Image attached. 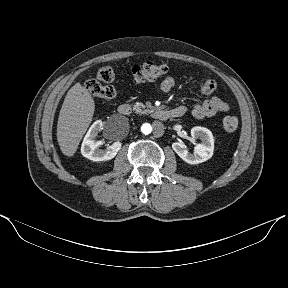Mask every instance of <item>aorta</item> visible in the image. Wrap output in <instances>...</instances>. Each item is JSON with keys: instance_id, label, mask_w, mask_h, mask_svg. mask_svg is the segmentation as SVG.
Segmentation results:
<instances>
[{"instance_id": "obj_1", "label": "aorta", "mask_w": 288, "mask_h": 288, "mask_svg": "<svg viewBox=\"0 0 288 288\" xmlns=\"http://www.w3.org/2000/svg\"><path fill=\"white\" fill-rule=\"evenodd\" d=\"M141 131L144 134H150L152 132V126L150 124H143L141 127Z\"/></svg>"}]
</instances>
